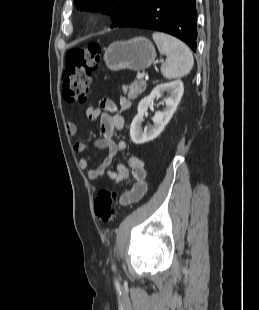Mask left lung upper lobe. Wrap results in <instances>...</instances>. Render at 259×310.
<instances>
[{"label": "left lung upper lobe", "mask_w": 259, "mask_h": 310, "mask_svg": "<svg viewBox=\"0 0 259 310\" xmlns=\"http://www.w3.org/2000/svg\"><path fill=\"white\" fill-rule=\"evenodd\" d=\"M152 0H74L78 10L100 11L111 15L112 26H116L133 12Z\"/></svg>", "instance_id": "obj_1"}]
</instances>
